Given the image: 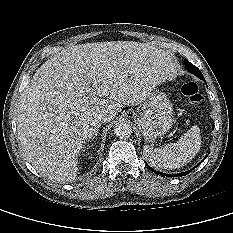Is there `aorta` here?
Returning a JSON list of instances; mask_svg holds the SVG:
<instances>
[{
    "label": "aorta",
    "mask_w": 233,
    "mask_h": 233,
    "mask_svg": "<svg viewBox=\"0 0 233 233\" xmlns=\"http://www.w3.org/2000/svg\"><path fill=\"white\" fill-rule=\"evenodd\" d=\"M114 134L120 139L129 138L132 134V127L130 123L125 121L118 122L114 127Z\"/></svg>",
    "instance_id": "obj_1"
}]
</instances>
